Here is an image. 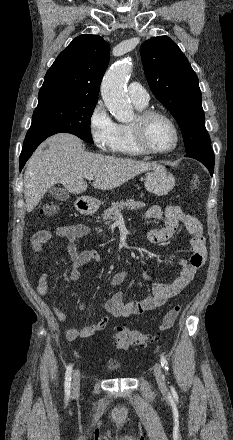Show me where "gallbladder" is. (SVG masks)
<instances>
[{"instance_id":"1","label":"gallbladder","mask_w":233,"mask_h":440,"mask_svg":"<svg viewBox=\"0 0 233 440\" xmlns=\"http://www.w3.org/2000/svg\"><path fill=\"white\" fill-rule=\"evenodd\" d=\"M50 194L59 201H66L69 199V193L66 189L60 187H51L49 189Z\"/></svg>"}]
</instances>
